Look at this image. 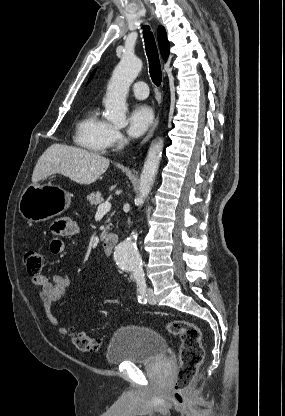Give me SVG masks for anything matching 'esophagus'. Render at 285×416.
<instances>
[{"mask_svg":"<svg viewBox=\"0 0 285 416\" xmlns=\"http://www.w3.org/2000/svg\"><path fill=\"white\" fill-rule=\"evenodd\" d=\"M159 123V116H157V118L155 119L152 127L150 128L149 132L147 133V135L145 136L144 140L141 141L140 146L142 147V145H144L145 143H147V141L150 140V138L152 137L155 129L157 128Z\"/></svg>","mask_w":285,"mask_h":416,"instance_id":"esophagus-1","label":"esophagus"}]
</instances>
